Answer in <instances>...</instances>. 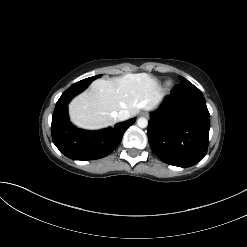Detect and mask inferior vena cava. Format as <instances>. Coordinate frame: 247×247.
<instances>
[{
    "label": "inferior vena cava",
    "instance_id": "1",
    "mask_svg": "<svg viewBox=\"0 0 247 247\" xmlns=\"http://www.w3.org/2000/svg\"><path fill=\"white\" fill-rule=\"evenodd\" d=\"M116 118L119 121H124L130 118V112L128 110H120L117 115Z\"/></svg>",
    "mask_w": 247,
    "mask_h": 247
}]
</instances>
